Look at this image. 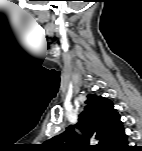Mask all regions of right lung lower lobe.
Wrapping results in <instances>:
<instances>
[{
  "instance_id": "1",
  "label": "right lung lower lobe",
  "mask_w": 142,
  "mask_h": 151,
  "mask_svg": "<svg viewBox=\"0 0 142 151\" xmlns=\"http://www.w3.org/2000/svg\"><path fill=\"white\" fill-rule=\"evenodd\" d=\"M129 146L127 145V141L116 147L113 151H126L129 150Z\"/></svg>"
}]
</instances>
